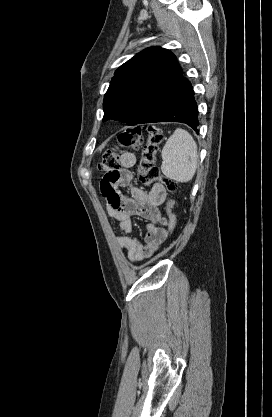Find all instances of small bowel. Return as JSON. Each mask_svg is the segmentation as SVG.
<instances>
[{
	"instance_id": "c3829d8e",
	"label": "small bowel",
	"mask_w": 272,
	"mask_h": 417,
	"mask_svg": "<svg viewBox=\"0 0 272 417\" xmlns=\"http://www.w3.org/2000/svg\"><path fill=\"white\" fill-rule=\"evenodd\" d=\"M122 168L114 174H105L101 180V194L105 201L107 214L119 223L123 235L116 238L119 247L127 249L128 259L132 262L151 257L168 238L167 219L160 206L167 192L160 183H155L149 191L135 184V174L131 170L137 166L133 153L121 155ZM121 188L130 191V197L122 194ZM132 216H140L148 221L144 242L132 235Z\"/></svg>"
}]
</instances>
